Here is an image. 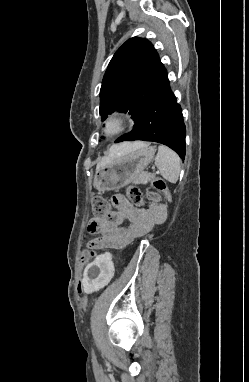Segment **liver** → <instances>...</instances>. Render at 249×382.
Here are the masks:
<instances>
[{
  "label": "liver",
  "mask_w": 249,
  "mask_h": 382,
  "mask_svg": "<svg viewBox=\"0 0 249 382\" xmlns=\"http://www.w3.org/2000/svg\"><path fill=\"white\" fill-rule=\"evenodd\" d=\"M143 142H134V143H121L119 145H114L110 148L109 154L105 157H103L97 164L96 170L101 169L105 167L107 164L111 163V161L124 153H128L132 150H135L137 148H140L144 145Z\"/></svg>",
  "instance_id": "obj_1"
}]
</instances>
